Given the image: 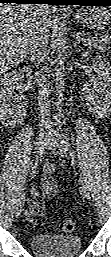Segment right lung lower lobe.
<instances>
[{"instance_id": "98d812e1", "label": "right lung lower lobe", "mask_w": 111, "mask_h": 257, "mask_svg": "<svg viewBox=\"0 0 111 257\" xmlns=\"http://www.w3.org/2000/svg\"><path fill=\"white\" fill-rule=\"evenodd\" d=\"M54 0H0V3H17V4H49L53 5Z\"/></svg>"}]
</instances>
